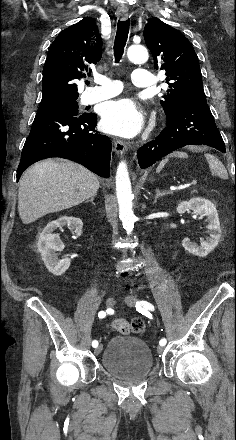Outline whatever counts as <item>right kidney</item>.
I'll use <instances>...</instances> for the list:
<instances>
[{"mask_svg":"<svg viewBox=\"0 0 236 440\" xmlns=\"http://www.w3.org/2000/svg\"><path fill=\"white\" fill-rule=\"evenodd\" d=\"M63 226L69 227L76 236L82 234L83 223L80 218L62 216L55 221L49 222L41 232L38 240V251L41 254L42 260L49 272L53 275L60 276L69 268L71 259L65 257L58 259L57 252L64 249L58 234H53V231Z\"/></svg>","mask_w":236,"mask_h":440,"instance_id":"1","label":"right kidney"}]
</instances>
